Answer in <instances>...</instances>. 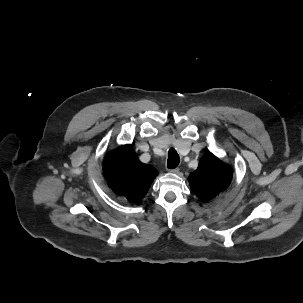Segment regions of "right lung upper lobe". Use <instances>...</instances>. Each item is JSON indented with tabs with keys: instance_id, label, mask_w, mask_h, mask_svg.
Segmentation results:
<instances>
[{
	"instance_id": "right-lung-upper-lobe-1",
	"label": "right lung upper lobe",
	"mask_w": 303,
	"mask_h": 303,
	"mask_svg": "<svg viewBox=\"0 0 303 303\" xmlns=\"http://www.w3.org/2000/svg\"><path fill=\"white\" fill-rule=\"evenodd\" d=\"M103 172L114 193L125 196L137 204L147 193L157 170L142 163L130 145H123L108 153Z\"/></svg>"
}]
</instances>
